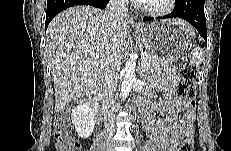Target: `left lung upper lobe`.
<instances>
[{
    "mask_svg": "<svg viewBox=\"0 0 231 151\" xmlns=\"http://www.w3.org/2000/svg\"><path fill=\"white\" fill-rule=\"evenodd\" d=\"M180 2H181V0H176V1H175V5L178 6V5L180 4ZM176 6H175V7H176Z\"/></svg>",
    "mask_w": 231,
    "mask_h": 151,
    "instance_id": "left-lung-upper-lobe-1",
    "label": "left lung upper lobe"
}]
</instances>
